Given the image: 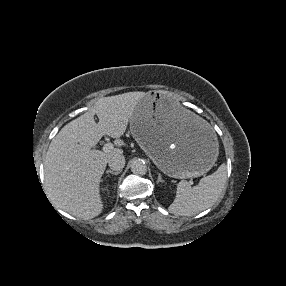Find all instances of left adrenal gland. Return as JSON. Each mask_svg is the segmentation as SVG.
Listing matches in <instances>:
<instances>
[{"label": "left adrenal gland", "instance_id": "left-adrenal-gland-1", "mask_svg": "<svg viewBox=\"0 0 286 286\" xmlns=\"http://www.w3.org/2000/svg\"><path fill=\"white\" fill-rule=\"evenodd\" d=\"M160 182H164V181L162 180L161 174L158 173L157 183H160Z\"/></svg>", "mask_w": 286, "mask_h": 286}]
</instances>
